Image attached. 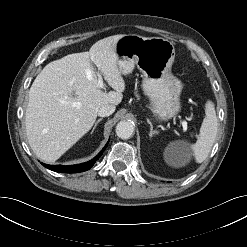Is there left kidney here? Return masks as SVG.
Segmentation results:
<instances>
[{"instance_id": "5707ae66", "label": "left kidney", "mask_w": 247, "mask_h": 247, "mask_svg": "<svg viewBox=\"0 0 247 247\" xmlns=\"http://www.w3.org/2000/svg\"><path fill=\"white\" fill-rule=\"evenodd\" d=\"M175 145V143H174ZM167 160L169 161V163H176V157L172 156L171 154L167 153L166 154Z\"/></svg>"}]
</instances>
